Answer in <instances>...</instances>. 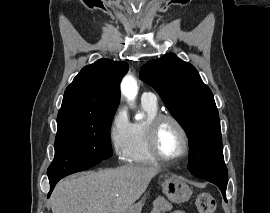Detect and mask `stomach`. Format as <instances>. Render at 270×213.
<instances>
[{
    "label": "stomach",
    "mask_w": 270,
    "mask_h": 213,
    "mask_svg": "<svg viewBox=\"0 0 270 213\" xmlns=\"http://www.w3.org/2000/svg\"><path fill=\"white\" fill-rule=\"evenodd\" d=\"M162 191L166 197L174 203H182L191 197L192 191L189 185L180 177L167 172L160 175ZM144 201L134 204L127 213H141Z\"/></svg>",
    "instance_id": "obj_1"
}]
</instances>
